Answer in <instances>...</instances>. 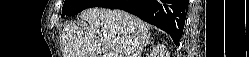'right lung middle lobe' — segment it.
<instances>
[{
  "label": "right lung middle lobe",
  "instance_id": "dd1d6c3e",
  "mask_svg": "<svg viewBox=\"0 0 249 57\" xmlns=\"http://www.w3.org/2000/svg\"><path fill=\"white\" fill-rule=\"evenodd\" d=\"M107 0H65L62 8V17L64 15H75L84 9L90 7H99Z\"/></svg>",
  "mask_w": 249,
  "mask_h": 57
}]
</instances>
